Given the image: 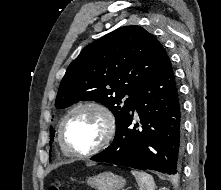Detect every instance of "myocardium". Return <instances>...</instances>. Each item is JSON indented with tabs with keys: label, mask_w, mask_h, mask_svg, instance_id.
<instances>
[{
	"label": "myocardium",
	"mask_w": 221,
	"mask_h": 190,
	"mask_svg": "<svg viewBox=\"0 0 221 190\" xmlns=\"http://www.w3.org/2000/svg\"><path fill=\"white\" fill-rule=\"evenodd\" d=\"M83 109H92L100 113L104 121V131L100 141L95 146L84 151H78L67 145L63 137V130L68 118L75 112ZM115 133H116V119L111 109L104 103L97 101H87L75 105L74 107L69 109L67 113L62 117L58 127V140L62 150L66 154L76 157H87L105 149L114 138Z\"/></svg>",
	"instance_id": "obj_1"
}]
</instances>
